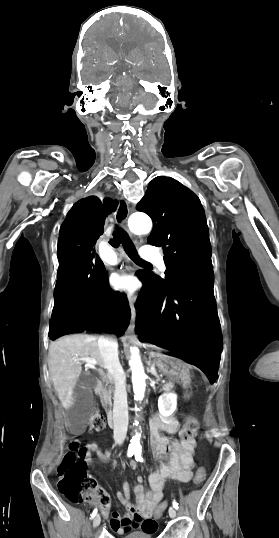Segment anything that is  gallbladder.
Masks as SVG:
<instances>
[{
	"label": "gallbladder",
	"instance_id": "1",
	"mask_svg": "<svg viewBox=\"0 0 279 538\" xmlns=\"http://www.w3.org/2000/svg\"><path fill=\"white\" fill-rule=\"evenodd\" d=\"M98 384L99 379L94 378L93 374L81 372L73 390L74 394H79L81 404H76L67 415L69 422H71L69 426L71 433H82L83 429L91 422V410L96 408V401L90 390ZM64 409H69V406H64Z\"/></svg>",
	"mask_w": 279,
	"mask_h": 538
}]
</instances>
